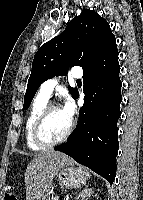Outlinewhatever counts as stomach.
I'll use <instances>...</instances> for the list:
<instances>
[{
  "label": "stomach",
  "instance_id": "1",
  "mask_svg": "<svg viewBox=\"0 0 143 200\" xmlns=\"http://www.w3.org/2000/svg\"><path fill=\"white\" fill-rule=\"evenodd\" d=\"M89 177L87 169L69 165L62 167L58 173L59 184L62 188H80L87 183Z\"/></svg>",
  "mask_w": 143,
  "mask_h": 200
}]
</instances>
